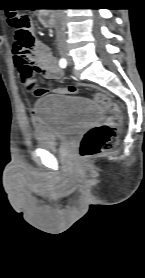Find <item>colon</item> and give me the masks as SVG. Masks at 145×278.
<instances>
[{
	"mask_svg": "<svg viewBox=\"0 0 145 278\" xmlns=\"http://www.w3.org/2000/svg\"><path fill=\"white\" fill-rule=\"evenodd\" d=\"M7 21L14 32L17 43L23 48H29L34 40L29 26V18L25 14L11 13L8 15ZM25 88L35 96H42L46 93L75 95L79 91L76 87H55L46 90L37 86L34 77L25 82ZM95 99L110 115L106 123L94 126L85 132L79 146V156L82 161H88L112 149L117 140L116 129L123 123L122 108L110 95L98 93L95 95Z\"/></svg>",
	"mask_w": 145,
	"mask_h": 278,
	"instance_id": "colon-1",
	"label": "colon"
}]
</instances>
